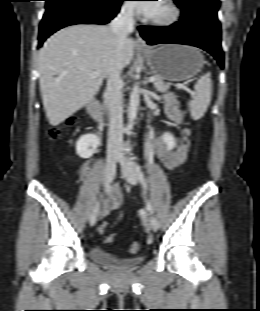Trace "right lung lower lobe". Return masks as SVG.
Returning a JSON list of instances; mask_svg holds the SVG:
<instances>
[{
	"mask_svg": "<svg viewBox=\"0 0 260 311\" xmlns=\"http://www.w3.org/2000/svg\"><path fill=\"white\" fill-rule=\"evenodd\" d=\"M39 46L57 30L74 24H106L119 12L123 0H45Z\"/></svg>",
	"mask_w": 260,
	"mask_h": 311,
	"instance_id": "right-lung-lower-lobe-1",
	"label": "right lung lower lobe"
}]
</instances>
